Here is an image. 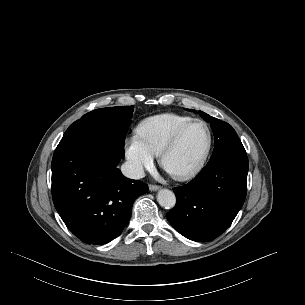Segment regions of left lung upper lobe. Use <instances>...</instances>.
I'll list each match as a JSON object with an SVG mask.
<instances>
[{
    "label": "left lung upper lobe",
    "instance_id": "1",
    "mask_svg": "<svg viewBox=\"0 0 305 305\" xmlns=\"http://www.w3.org/2000/svg\"><path fill=\"white\" fill-rule=\"evenodd\" d=\"M199 113L207 122L211 123L215 137V148L209 161L216 160L230 152H245L243 144L232 126L202 111H199Z\"/></svg>",
    "mask_w": 305,
    "mask_h": 305
}]
</instances>
